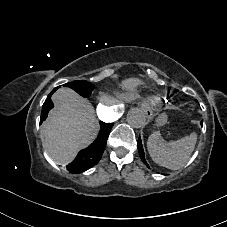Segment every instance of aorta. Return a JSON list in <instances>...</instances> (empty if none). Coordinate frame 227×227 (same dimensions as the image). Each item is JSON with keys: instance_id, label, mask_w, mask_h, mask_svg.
Wrapping results in <instances>:
<instances>
[{"instance_id": "762f6f07", "label": "aorta", "mask_w": 227, "mask_h": 227, "mask_svg": "<svg viewBox=\"0 0 227 227\" xmlns=\"http://www.w3.org/2000/svg\"><path fill=\"white\" fill-rule=\"evenodd\" d=\"M147 114L138 108L131 109L127 114V122L133 128H140L146 124Z\"/></svg>"}]
</instances>
